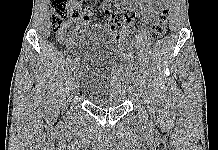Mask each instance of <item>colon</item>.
<instances>
[{"label":"colon","mask_w":218,"mask_h":150,"mask_svg":"<svg viewBox=\"0 0 218 150\" xmlns=\"http://www.w3.org/2000/svg\"><path fill=\"white\" fill-rule=\"evenodd\" d=\"M71 3L72 0H52V29L54 32H58L62 27L63 21L71 15ZM123 22L124 15L121 12H115L104 23L107 31L119 41L126 40L130 33V30L123 27ZM167 22L168 11L163 9L158 13L151 24L149 32L151 41L157 40L165 33Z\"/></svg>","instance_id":"obj_1"}]
</instances>
